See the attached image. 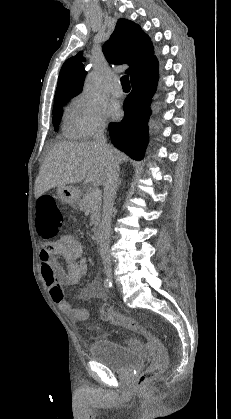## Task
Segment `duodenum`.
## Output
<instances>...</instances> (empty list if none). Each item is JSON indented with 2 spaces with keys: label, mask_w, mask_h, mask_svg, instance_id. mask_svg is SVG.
<instances>
[{
  "label": "duodenum",
  "mask_w": 231,
  "mask_h": 419,
  "mask_svg": "<svg viewBox=\"0 0 231 419\" xmlns=\"http://www.w3.org/2000/svg\"><path fill=\"white\" fill-rule=\"evenodd\" d=\"M93 235L96 239L100 238L101 235V227L98 222H95L92 227Z\"/></svg>",
  "instance_id": "1"
}]
</instances>
